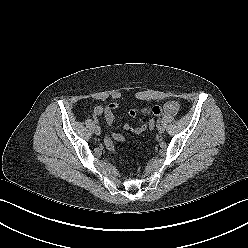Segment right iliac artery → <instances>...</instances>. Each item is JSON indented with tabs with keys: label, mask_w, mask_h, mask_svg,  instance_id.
Segmentation results:
<instances>
[{
	"label": "right iliac artery",
	"mask_w": 248,
	"mask_h": 248,
	"mask_svg": "<svg viewBox=\"0 0 248 248\" xmlns=\"http://www.w3.org/2000/svg\"><path fill=\"white\" fill-rule=\"evenodd\" d=\"M93 123L97 124L98 123V120H94Z\"/></svg>",
	"instance_id": "1"
}]
</instances>
